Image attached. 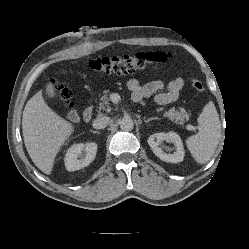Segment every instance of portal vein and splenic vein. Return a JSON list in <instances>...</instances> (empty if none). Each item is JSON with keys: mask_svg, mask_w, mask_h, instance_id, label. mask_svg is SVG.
<instances>
[{"mask_svg": "<svg viewBox=\"0 0 249 249\" xmlns=\"http://www.w3.org/2000/svg\"><path fill=\"white\" fill-rule=\"evenodd\" d=\"M113 102H114L115 104L118 103V102H119V97L117 96V98H114V99H113ZM186 128H187L188 130H190V131L195 130V127L192 126V125H187Z\"/></svg>", "mask_w": 249, "mask_h": 249, "instance_id": "obj_1", "label": "portal vein and splenic vein"}]
</instances>
